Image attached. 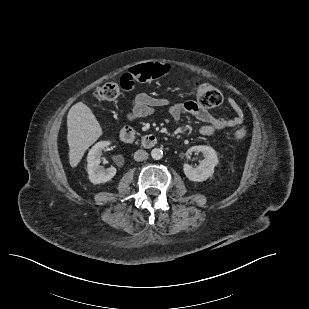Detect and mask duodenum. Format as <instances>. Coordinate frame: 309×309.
Wrapping results in <instances>:
<instances>
[{"label":"duodenum","instance_id":"1","mask_svg":"<svg viewBox=\"0 0 309 309\" xmlns=\"http://www.w3.org/2000/svg\"><path fill=\"white\" fill-rule=\"evenodd\" d=\"M120 139L122 142L130 144L136 139V132L130 126H125L120 130ZM142 146L145 148L154 147L158 140L154 134H145L140 139Z\"/></svg>","mask_w":309,"mask_h":309}]
</instances>
